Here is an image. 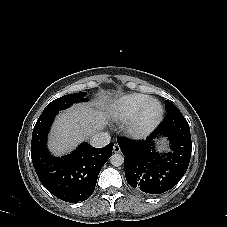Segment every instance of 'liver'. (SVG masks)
<instances>
[{
	"label": "liver",
	"instance_id": "1",
	"mask_svg": "<svg viewBox=\"0 0 227 227\" xmlns=\"http://www.w3.org/2000/svg\"><path fill=\"white\" fill-rule=\"evenodd\" d=\"M104 108L78 104L60 114L51 131L50 150L55 155H62L102 130L108 124L109 117Z\"/></svg>",
	"mask_w": 227,
	"mask_h": 227
}]
</instances>
